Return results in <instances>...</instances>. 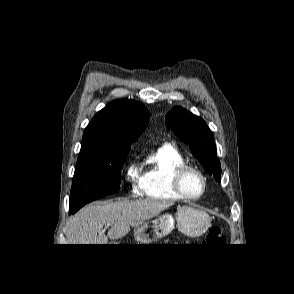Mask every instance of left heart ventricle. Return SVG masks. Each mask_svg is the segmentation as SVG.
<instances>
[{
    "label": "left heart ventricle",
    "mask_w": 294,
    "mask_h": 294,
    "mask_svg": "<svg viewBox=\"0 0 294 294\" xmlns=\"http://www.w3.org/2000/svg\"><path fill=\"white\" fill-rule=\"evenodd\" d=\"M182 186L188 195L196 196L202 189V181L196 173L187 172L183 178Z\"/></svg>",
    "instance_id": "obj_1"
}]
</instances>
